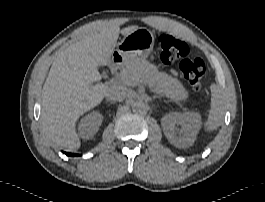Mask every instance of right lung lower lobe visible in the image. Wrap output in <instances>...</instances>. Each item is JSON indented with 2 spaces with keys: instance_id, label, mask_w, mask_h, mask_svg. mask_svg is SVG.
Segmentation results:
<instances>
[{
  "instance_id": "right-lung-lower-lobe-1",
  "label": "right lung lower lobe",
  "mask_w": 265,
  "mask_h": 202,
  "mask_svg": "<svg viewBox=\"0 0 265 202\" xmlns=\"http://www.w3.org/2000/svg\"><path fill=\"white\" fill-rule=\"evenodd\" d=\"M66 155L68 156H78L77 154H72V153H67V152H64Z\"/></svg>"
}]
</instances>
